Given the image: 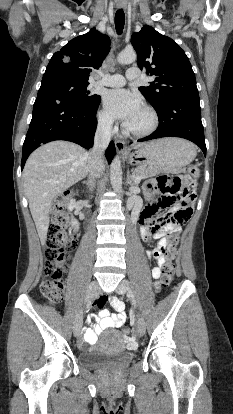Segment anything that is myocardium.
Listing matches in <instances>:
<instances>
[{"label":"myocardium","mask_w":233,"mask_h":414,"mask_svg":"<svg viewBox=\"0 0 233 414\" xmlns=\"http://www.w3.org/2000/svg\"><path fill=\"white\" fill-rule=\"evenodd\" d=\"M143 110L150 117L149 125L143 130H133V129L129 128L127 125H125L124 126V132L126 134H128L130 136H133V137L142 138V137H146V136L152 134L158 128L159 117H158L157 112L149 106L143 107Z\"/></svg>","instance_id":"myocardium-1"}]
</instances>
